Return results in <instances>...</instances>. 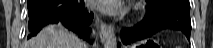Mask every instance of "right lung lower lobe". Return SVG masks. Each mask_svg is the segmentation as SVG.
I'll return each instance as SVG.
<instances>
[{
	"instance_id": "98d812e1",
	"label": "right lung lower lobe",
	"mask_w": 213,
	"mask_h": 48,
	"mask_svg": "<svg viewBox=\"0 0 213 48\" xmlns=\"http://www.w3.org/2000/svg\"><path fill=\"white\" fill-rule=\"evenodd\" d=\"M28 7V38L46 25L62 23L65 27L77 33L80 37L90 33L93 13L84 8L83 0H27Z\"/></svg>"
}]
</instances>
